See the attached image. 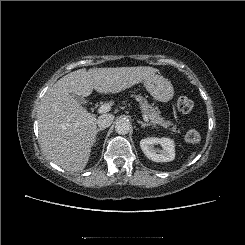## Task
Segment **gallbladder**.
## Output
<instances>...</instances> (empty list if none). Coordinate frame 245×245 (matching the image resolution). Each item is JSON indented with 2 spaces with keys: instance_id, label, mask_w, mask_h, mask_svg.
<instances>
[{
  "instance_id": "obj_1",
  "label": "gallbladder",
  "mask_w": 245,
  "mask_h": 245,
  "mask_svg": "<svg viewBox=\"0 0 245 245\" xmlns=\"http://www.w3.org/2000/svg\"><path fill=\"white\" fill-rule=\"evenodd\" d=\"M72 96L78 101V103L83 104V105L87 104V101L85 98L75 95V94H72Z\"/></svg>"
}]
</instances>
